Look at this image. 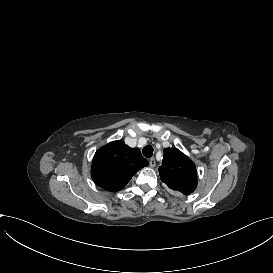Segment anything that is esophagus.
Returning a JSON list of instances; mask_svg holds the SVG:
<instances>
[{
    "label": "esophagus",
    "instance_id": "esophagus-1",
    "mask_svg": "<svg viewBox=\"0 0 273 273\" xmlns=\"http://www.w3.org/2000/svg\"><path fill=\"white\" fill-rule=\"evenodd\" d=\"M149 164H150L151 167H155V165H156L155 158H150Z\"/></svg>",
    "mask_w": 273,
    "mask_h": 273
}]
</instances>
